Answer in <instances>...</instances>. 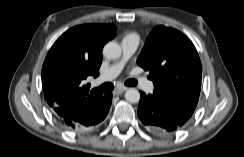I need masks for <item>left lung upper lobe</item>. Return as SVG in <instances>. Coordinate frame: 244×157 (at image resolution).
<instances>
[{"label": "left lung upper lobe", "mask_w": 244, "mask_h": 157, "mask_svg": "<svg viewBox=\"0 0 244 157\" xmlns=\"http://www.w3.org/2000/svg\"><path fill=\"white\" fill-rule=\"evenodd\" d=\"M137 63L150 71L154 95L186 123L201 89L202 66L193 43L174 28L157 26L147 37Z\"/></svg>", "instance_id": "obj_1"}]
</instances>
